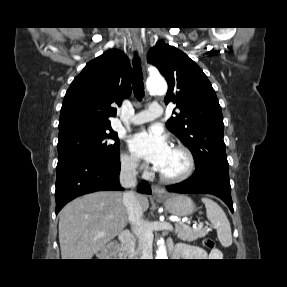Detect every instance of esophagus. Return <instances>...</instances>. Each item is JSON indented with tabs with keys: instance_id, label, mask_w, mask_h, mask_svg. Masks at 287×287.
<instances>
[{
	"instance_id": "34e87169",
	"label": "esophagus",
	"mask_w": 287,
	"mask_h": 287,
	"mask_svg": "<svg viewBox=\"0 0 287 287\" xmlns=\"http://www.w3.org/2000/svg\"><path fill=\"white\" fill-rule=\"evenodd\" d=\"M132 44H133V48L140 54L142 52L141 41L137 37H134L132 39ZM151 189H152L153 195L155 196H160V195L165 194V190L159 185L154 184L151 186Z\"/></svg>"
}]
</instances>
